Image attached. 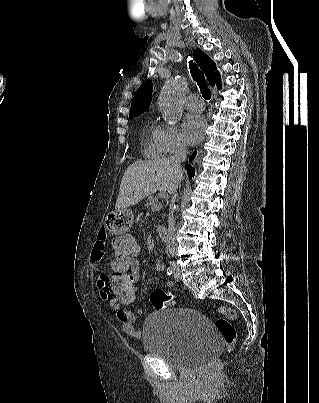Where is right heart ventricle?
Returning <instances> with one entry per match:
<instances>
[{"instance_id":"obj_1","label":"right heart ventricle","mask_w":319,"mask_h":403,"mask_svg":"<svg viewBox=\"0 0 319 403\" xmlns=\"http://www.w3.org/2000/svg\"><path fill=\"white\" fill-rule=\"evenodd\" d=\"M158 126L147 124L143 134V153L147 157H158L162 154L158 136Z\"/></svg>"}]
</instances>
